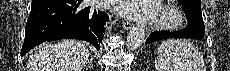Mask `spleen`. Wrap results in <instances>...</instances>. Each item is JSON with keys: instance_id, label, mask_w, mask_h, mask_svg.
Masks as SVG:
<instances>
[{"instance_id": "spleen-1", "label": "spleen", "mask_w": 230, "mask_h": 71, "mask_svg": "<svg viewBox=\"0 0 230 71\" xmlns=\"http://www.w3.org/2000/svg\"><path fill=\"white\" fill-rule=\"evenodd\" d=\"M155 66L157 71H205L201 53L191 43L177 39L161 43Z\"/></svg>"}]
</instances>
